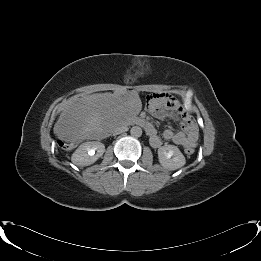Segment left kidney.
I'll list each match as a JSON object with an SVG mask.
<instances>
[{"mask_svg":"<svg viewBox=\"0 0 261 261\" xmlns=\"http://www.w3.org/2000/svg\"><path fill=\"white\" fill-rule=\"evenodd\" d=\"M160 164L168 170H176L185 165L186 159L175 145H165L158 149Z\"/></svg>","mask_w":261,"mask_h":261,"instance_id":"5707ae66","label":"left kidney"}]
</instances>
